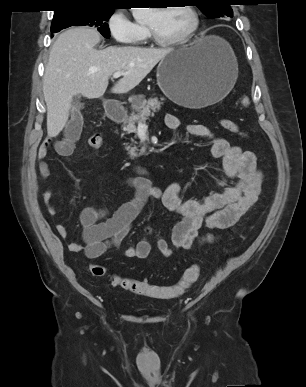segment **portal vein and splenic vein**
I'll return each mask as SVG.
<instances>
[{"mask_svg":"<svg viewBox=\"0 0 306 387\" xmlns=\"http://www.w3.org/2000/svg\"><path fill=\"white\" fill-rule=\"evenodd\" d=\"M123 75H125V73H123V72H115L114 74H113V78H119V77H121V76H123ZM145 126V124H143V123H139V127H144Z\"/></svg>","mask_w":306,"mask_h":387,"instance_id":"obj_1","label":"portal vein and splenic vein"}]
</instances>
